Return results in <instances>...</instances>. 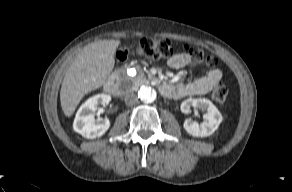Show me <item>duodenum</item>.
Returning <instances> with one entry per match:
<instances>
[{
	"instance_id": "obj_1",
	"label": "duodenum",
	"mask_w": 292,
	"mask_h": 192,
	"mask_svg": "<svg viewBox=\"0 0 292 192\" xmlns=\"http://www.w3.org/2000/svg\"><path fill=\"white\" fill-rule=\"evenodd\" d=\"M106 91L118 96L121 94L122 89H121V83H120V75L118 73H115L111 76V78L108 80L106 86ZM169 89L168 84H162L160 86V91L162 94H165Z\"/></svg>"
}]
</instances>
